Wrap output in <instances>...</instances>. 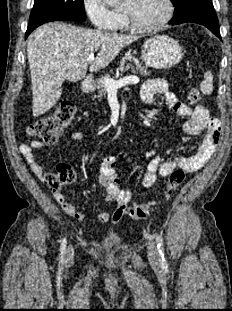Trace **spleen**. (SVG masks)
Instances as JSON below:
<instances>
[{"instance_id":"3e777b00","label":"spleen","mask_w":232,"mask_h":311,"mask_svg":"<svg viewBox=\"0 0 232 311\" xmlns=\"http://www.w3.org/2000/svg\"><path fill=\"white\" fill-rule=\"evenodd\" d=\"M213 75L210 71L204 74V80L200 83V90L204 95H209L213 91Z\"/></svg>"}]
</instances>
